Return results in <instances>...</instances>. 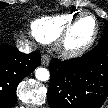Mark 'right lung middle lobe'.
<instances>
[{"label": "right lung middle lobe", "mask_w": 108, "mask_h": 108, "mask_svg": "<svg viewBox=\"0 0 108 108\" xmlns=\"http://www.w3.org/2000/svg\"><path fill=\"white\" fill-rule=\"evenodd\" d=\"M7 3H4V2H0V9L3 8L4 6H6Z\"/></svg>", "instance_id": "1"}]
</instances>
